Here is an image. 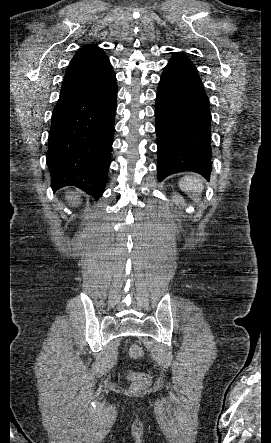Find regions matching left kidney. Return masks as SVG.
<instances>
[{"mask_svg": "<svg viewBox=\"0 0 271 443\" xmlns=\"http://www.w3.org/2000/svg\"><path fill=\"white\" fill-rule=\"evenodd\" d=\"M176 200H178V202H182L183 198H181V196H175Z\"/></svg>", "mask_w": 271, "mask_h": 443, "instance_id": "obj_1", "label": "left kidney"}]
</instances>
